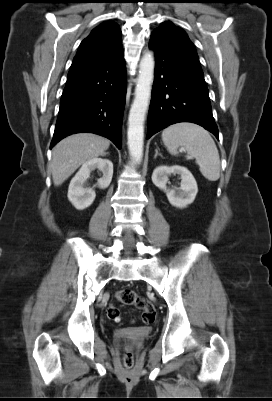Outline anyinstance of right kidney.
<instances>
[{"label":"right kidney","mask_w":272,"mask_h":401,"mask_svg":"<svg viewBox=\"0 0 272 401\" xmlns=\"http://www.w3.org/2000/svg\"><path fill=\"white\" fill-rule=\"evenodd\" d=\"M95 169H99L103 174L98 180V185L101 189L107 188L111 183L113 163L110 160L95 158L84 163L71 180L67 195L69 201L78 210L89 207L96 197V193L92 188H84V184L89 178L91 171Z\"/></svg>","instance_id":"ca27d5eb"}]
</instances>
